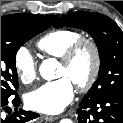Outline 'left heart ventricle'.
<instances>
[{
  "mask_svg": "<svg viewBox=\"0 0 123 123\" xmlns=\"http://www.w3.org/2000/svg\"><path fill=\"white\" fill-rule=\"evenodd\" d=\"M93 64L89 49H83L70 67L59 65L57 76L67 77L74 84L84 81L89 75Z\"/></svg>",
  "mask_w": 123,
  "mask_h": 123,
  "instance_id": "1",
  "label": "left heart ventricle"
}]
</instances>
